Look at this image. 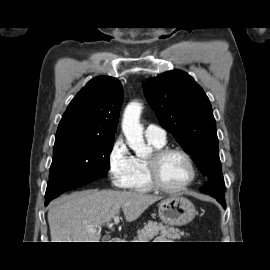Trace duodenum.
<instances>
[{
	"instance_id": "duodenum-1",
	"label": "duodenum",
	"mask_w": 270,
	"mask_h": 270,
	"mask_svg": "<svg viewBox=\"0 0 270 270\" xmlns=\"http://www.w3.org/2000/svg\"><path fill=\"white\" fill-rule=\"evenodd\" d=\"M111 241H112V242H117L118 240L115 239V238H112Z\"/></svg>"
}]
</instances>
